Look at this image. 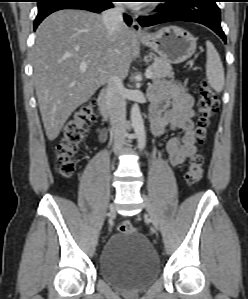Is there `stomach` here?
<instances>
[{
  "label": "stomach",
  "instance_id": "stomach-1",
  "mask_svg": "<svg viewBox=\"0 0 248 299\" xmlns=\"http://www.w3.org/2000/svg\"><path fill=\"white\" fill-rule=\"evenodd\" d=\"M140 41L171 64L186 61L196 50L194 36L177 26L162 27L155 33L144 35Z\"/></svg>",
  "mask_w": 248,
  "mask_h": 299
}]
</instances>
